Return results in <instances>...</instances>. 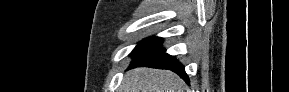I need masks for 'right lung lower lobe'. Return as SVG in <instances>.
I'll list each match as a JSON object with an SVG mask.
<instances>
[{
	"label": "right lung lower lobe",
	"instance_id": "obj_1",
	"mask_svg": "<svg viewBox=\"0 0 289 92\" xmlns=\"http://www.w3.org/2000/svg\"><path fill=\"white\" fill-rule=\"evenodd\" d=\"M138 66L171 70L180 75L187 83H189V78L185 73L184 66L179 63L174 56H170L165 53V50L149 58L139 59L132 62L129 69Z\"/></svg>",
	"mask_w": 289,
	"mask_h": 92
}]
</instances>
